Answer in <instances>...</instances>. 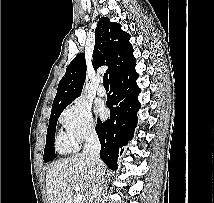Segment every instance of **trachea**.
<instances>
[{
	"instance_id": "1",
	"label": "trachea",
	"mask_w": 214,
	"mask_h": 203,
	"mask_svg": "<svg viewBox=\"0 0 214 203\" xmlns=\"http://www.w3.org/2000/svg\"><path fill=\"white\" fill-rule=\"evenodd\" d=\"M103 85L109 86V80H108V74L107 73H105L103 76Z\"/></svg>"
}]
</instances>
